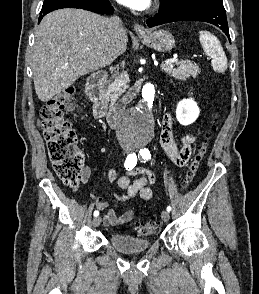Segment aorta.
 I'll return each mask as SVG.
<instances>
[{
  "label": "aorta",
  "instance_id": "1",
  "mask_svg": "<svg viewBox=\"0 0 259 294\" xmlns=\"http://www.w3.org/2000/svg\"><path fill=\"white\" fill-rule=\"evenodd\" d=\"M154 96V85L145 84L142 88V102L129 110L121 121L122 132L135 142L147 143L153 137L154 118L151 108Z\"/></svg>",
  "mask_w": 259,
  "mask_h": 294
}]
</instances>
